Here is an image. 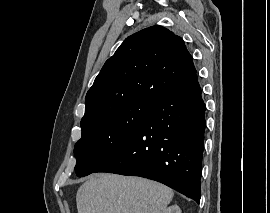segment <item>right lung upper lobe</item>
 Here are the masks:
<instances>
[{"mask_svg":"<svg viewBox=\"0 0 270 213\" xmlns=\"http://www.w3.org/2000/svg\"><path fill=\"white\" fill-rule=\"evenodd\" d=\"M195 73L182 38L162 26L143 29L105 62L87 92L81 122L136 100L157 104Z\"/></svg>","mask_w":270,"mask_h":213,"instance_id":"cb5924a9","label":"right lung upper lobe"}]
</instances>
